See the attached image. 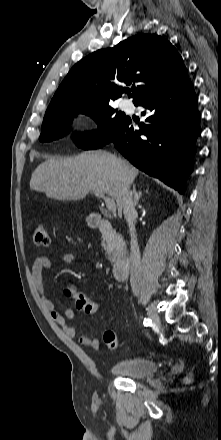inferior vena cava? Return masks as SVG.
<instances>
[{
	"instance_id": "1",
	"label": "inferior vena cava",
	"mask_w": 221,
	"mask_h": 440,
	"mask_svg": "<svg viewBox=\"0 0 221 440\" xmlns=\"http://www.w3.org/2000/svg\"><path fill=\"white\" fill-rule=\"evenodd\" d=\"M122 206L125 220L128 223L130 230V245H131V271H130V283L133 290L137 291L141 281V256L139 246L137 242L136 230L134 225V219L137 215L135 205L132 199V192L130 186L127 185L124 188L122 196Z\"/></svg>"
}]
</instances>
